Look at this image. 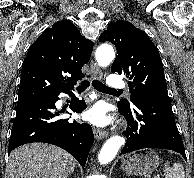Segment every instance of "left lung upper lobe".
<instances>
[{"label":"left lung upper lobe","instance_id":"obj_1","mask_svg":"<svg viewBox=\"0 0 194 178\" xmlns=\"http://www.w3.org/2000/svg\"><path fill=\"white\" fill-rule=\"evenodd\" d=\"M99 41H109L116 46L118 55L111 71L123 73L129 79L130 100L135 94L169 97L158 49L144 31L118 20L107 27ZM118 105L130 107L125 99Z\"/></svg>","mask_w":194,"mask_h":178}]
</instances>
